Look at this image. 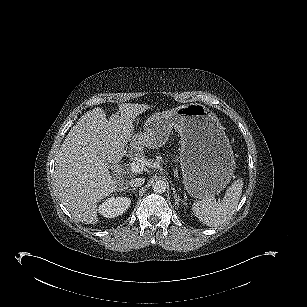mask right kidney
Returning <instances> with one entry per match:
<instances>
[{
    "label": "right kidney",
    "instance_id": "ca27d5eb",
    "mask_svg": "<svg viewBox=\"0 0 307 307\" xmlns=\"http://www.w3.org/2000/svg\"><path fill=\"white\" fill-rule=\"evenodd\" d=\"M130 204V198L112 196L99 205L98 211L105 218H115L125 213Z\"/></svg>",
    "mask_w": 307,
    "mask_h": 307
}]
</instances>
